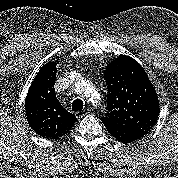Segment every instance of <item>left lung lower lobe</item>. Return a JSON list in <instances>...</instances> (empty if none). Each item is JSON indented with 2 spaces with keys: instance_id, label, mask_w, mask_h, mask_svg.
I'll list each match as a JSON object with an SVG mask.
<instances>
[{
  "instance_id": "left-lung-lower-lobe-1",
  "label": "left lung lower lobe",
  "mask_w": 178,
  "mask_h": 178,
  "mask_svg": "<svg viewBox=\"0 0 178 178\" xmlns=\"http://www.w3.org/2000/svg\"><path fill=\"white\" fill-rule=\"evenodd\" d=\"M102 123L111 135L123 143H129L140 139L149 132L140 128L119 125L109 121H102Z\"/></svg>"
}]
</instances>
